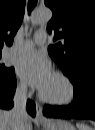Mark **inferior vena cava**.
I'll list each match as a JSON object with an SVG mask.
<instances>
[{
  "label": "inferior vena cava",
  "mask_w": 95,
  "mask_h": 130,
  "mask_svg": "<svg viewBox=\"0 0 95 130\" xmlns=\"http://www.w3.org/2000/svg\"><path fill=\"white\" fill-rule=\"evenodd\" d=\"M27 102V88L26 86H19L16 88L13 98V108L10 110V115L14 121V130H22L21 124L23 119L27 116L26 112Z\"/></svg>",
  "instance_id": "1"
}]
</instances>
